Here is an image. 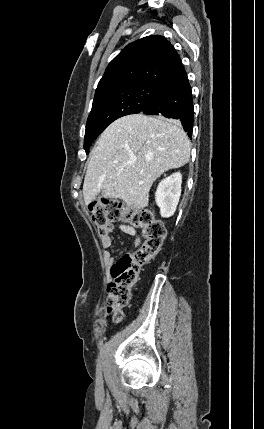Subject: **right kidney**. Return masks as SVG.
Returning a JSON list of instances; mask_svg holds the SVG:
<instances>
[{
  "instance_id": "right-kidney-1",
  "label": "right kidney",
  "mask_w": 264,
  "mask_h": 429,
  "mask_svg": "<svg viewBox=\"0 0 264 429\" xmlns=\"http://www.w3.org/2000/svg\"><path fill=\"white\" fill-rule=\"evenodd\" d=\"M182 175L176 172L163 179L156 190L155 201L160 208V214L163 218L171 217L178 205L181 195Z\"/></svg>"
}]
</instances>
